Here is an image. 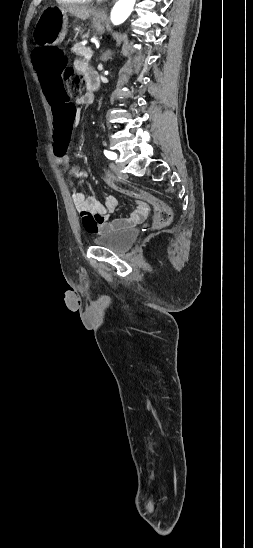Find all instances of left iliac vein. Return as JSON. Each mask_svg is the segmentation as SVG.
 Here are the masks:
<instances>
[{
    "label": "left iliac vein",
    "mask_w": 253,
    "mask_h": 548,
    "mask_svg": "<svg viewBox=\"0 0 253 548\" xmlns=\"http://www.w3.org/2000/svg\"><path fill=\"white\" fill-rule=\"evenodd\" d=\"M110 168L112 169V171H113L117 176L122 177V178L125 177V175L121 172L119 165H117L116 163L112 162V163L110 164Z\"/></svg>",
    "instance_id": "obj_1"
}]
</instances>
